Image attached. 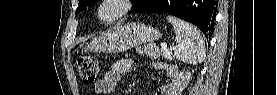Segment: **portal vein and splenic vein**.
Returning a JSON list of instances; mask_svg holds the SVG:
<instances>
[{
	"label": "portal vein and splenic vein",
	"mask_w": 277,
	"mask_h": 95,
	"mask_svg": "<svg viewBox=\"0 0 277 95\" xmlns=\"http://www.w3.org/2000/svg\"><path fill=\"white\" fill-rule=\"evenodd\" d=\"M161 48L164 49V50H166V49H167V44H166V43H162V44H161Z\"/></svg>",
	"instance_id": "obj_1"
}]
</instances>
